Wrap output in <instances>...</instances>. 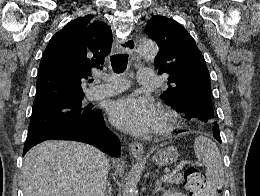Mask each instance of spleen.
Instances as JSON below:
<instances>
[{
	"label": "spleen",
	"mask_w": 260,
	"mask_h": 196,
	"mask_svg": "<svg viewBox=\"0 0 260 196\" xmlns=\"http://www.w3.org/2000/svg\"><path fill=\"white\" fill-rule=\"evenodd\" d=\"M194 152L198 162H203L206 168L207 182L215 190H222L225 178L219 148L206 136H198V138H195Z\"/></svg>",
	"instance_id": "obj_1"
}]
</instances>
